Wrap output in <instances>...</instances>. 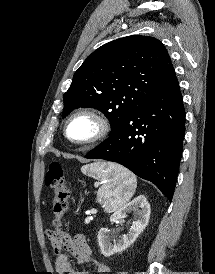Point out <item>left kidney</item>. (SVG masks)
<instances>
[{
  "mask_svg": "<svg viewBox=\"0 0 215 274\" xmlns=\"http://www.w3.org/2000/svg\"><path fill=\"white\" fill-rule=\"evenodd\" d=\"M131 210H134L138 216L132 223V226L127 234L117 237L116 235L111 234L106 228H102L98 232V243L101 253L104 256L109 257L115 253H119L127 249L135 242L137 237L147 226L151 208L147 199L143 195L136 197L131 202L118 209L111 216L110 221L113 223L124 218Z\"/></svg>",
  "mask_w": 215,
  "mask_h": 274,
  "instance_id": "5707ae66",
  "label": "left kidney"
}]
</instances>
